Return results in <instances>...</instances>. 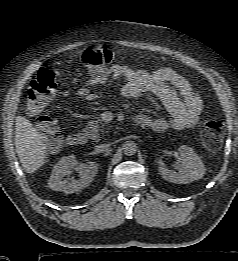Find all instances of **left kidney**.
<instances>
[{
  "mask_svg": "<svg viewBox=\"0 0 238 261\" xmlns=\"http://www.w3.org/2000/svg\"><path fill=\"white\" fill-rule=\"evenodd\" d=\"M179 157L176 168L179 172L169 170L163 162L159 163V173L166 181L176 184H188L201 179L205 174V167L201 158L188 146L178 148Z\"/></svg>",
  "mask_w": 238,
  "mask_h": 261,
  "instance_id": "left-kidney-1",
  "label": "left kidney"
}]
</instances>
